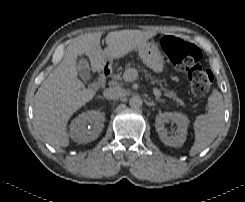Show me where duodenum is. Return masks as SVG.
<instances>
[{
  "label": "duodenum",
  "mask_w": 245,
  "mask_h": 202,
  "mask_svg": "<svg viewBox=\"0 0 245 202\" xmlns=\"http://www.w3.org/2000/svg\"><path fill=\"white\" fill-rule=\"evenodd\" d=\"M111 75V69L107 60H104L103 65L98 70V79L102 85H105L107 79Z\"/></svg>",
  "instance_id": "1"
}]
</instances>
